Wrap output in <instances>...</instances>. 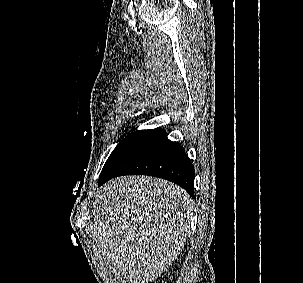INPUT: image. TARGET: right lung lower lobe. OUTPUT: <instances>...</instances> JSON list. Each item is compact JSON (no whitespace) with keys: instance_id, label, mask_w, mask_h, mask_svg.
Instances as JSON below:
<instances>
[{"instance_id":"98d812e1","label":"right lung lower lobe","mask_w":303,"mask_h":283,"mask_svg":"<svg viewBox=\"0 0 303 283\" xmlns=\"http://www.w3.org/2000/svg\"><path fill=\"white\" fill-rule=\"evenodd\" d=\"M122 175H148L167 179L194 197V166L184 148L169 140L162 128L146 130L119 161L99 177L98 185Z\"/></svg>"}]
</instances>
